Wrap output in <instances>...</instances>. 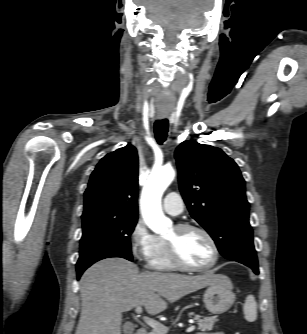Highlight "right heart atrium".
I'll use <instances>...</instances> for the list:
<instances>
[{"mask_svg":"<svg viewBox=\"0 0 307 334\" xmlns=\"http://www.w3.org/2000/svg\"><path fill=\"white\" fill-rule=\"evenodd\" d=\"M130 251L140 263L149 262L157 245V238L142 219H137L129 233Z\"/></svg>","mask_w":307,"mask_h":334,"instance_id":"right-heart-atrium-1","label":"right heart atrium"}]
</instances>
